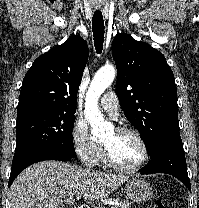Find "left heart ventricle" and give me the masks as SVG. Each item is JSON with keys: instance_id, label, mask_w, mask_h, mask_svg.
Here are the masks:
<instances>
[{"instance_id": "obj_1", "label": "left heart ventricle", "mask_w": 199, "mask_h": 208, "mask_svg": "<svg viewBox=\"0 0 199 208\" xmlns=\"http://www.w3.org/2000/svg\"><path fill=\"white\" fill-rule=\"evenodd\" d=\"M102 143L113 159L124 166H134L143 157L142 146L132 135L118 134L113 130L105 136Z\"/></svg>"}]
</instances>
